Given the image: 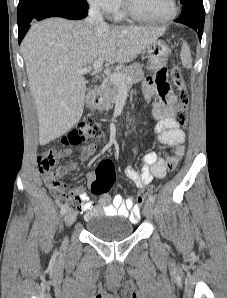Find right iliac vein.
<instances>
[{
    "label": "right iliac vein",
    "mask_w": 227,
    "mask_h": 298,
    "mask_svg": "<svg viewBox=\"0 0 227 298\" xmlns=\"http://www.w3.org/2000/svg\"><path fill=\"white\" fill-rule=\"evenodd\" d=\"M77 218V213L75 210L70 209L67 211L66 215H65V223L68 227H70L71 225H73V223L76 221Z\"/></svg>",
    "instance_id": "63e3f726"
}]
</instances>
